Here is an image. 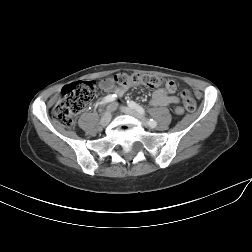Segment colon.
<instances>
[{
    "label": "colon",
    "mask_w": 252,
    "mask_h": 252,
    "mask_svg": "<svg viewBox=\"0 0 252 252\" xmlns=\"http://www.w3.org/2000/svg\"><path fill=\"white\" fill-rule=\"evenodd\" d=\"M118 87H127L131 84H144L149 87L158 88L161 86L174 88L173 81L149 74H116L107 80ZM97 84L94 81H79L67 85L62 92V96L53 109V117L64 127L70 128L74 124V117L81 112L84 107L95 97ZM185 109L193 112L196 109V101L187 90L181 91ZM181 110L178 109L177 113Z\"/></svg>",
    "instance_id": "colon-1"
}]
</instances>
